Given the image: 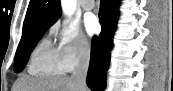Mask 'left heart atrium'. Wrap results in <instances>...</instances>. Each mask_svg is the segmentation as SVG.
<instances>
[{"label":"left heart atrium","mask_w":173,"mask_h":91,"mask_svg":"<svg viewBox=\"0 0 173 91\" xmlns=\"http://www.w3.org/2000/svg\"><path fill=\"white\" fill-rule=\"evenodd\" d=\"M84 27L89 35L95 34L99 30V23L93 14H88L84 18Z\"/></svg>","instance_id":"left-heart-atrium-1"}]
</instances>
